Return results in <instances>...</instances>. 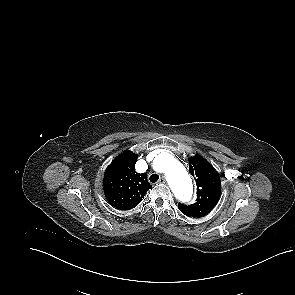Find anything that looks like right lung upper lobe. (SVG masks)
<instances>
[{
	"instance_id": "obj_1",
	"label": "right lung upper lobe",
	"mask_w": 295,
	"mask_h": 295,
	"mask_svg": "<svg viewBox=\"0 0 295 295\" xmlns=\"http://www.w3.org/2000/svg\"><path fill=\"white\" fill-rule=\"evenodd\" d=\"M137 155L131 151L120 154L106 169L103 185L108 202L120 209L137 206L145 193L152 188L147 174L135 171Z\"/></svg>"
}]
</instances>
